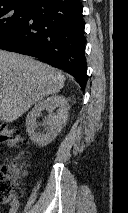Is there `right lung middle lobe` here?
<instances>
[{"label":"right lung middle lobe","instance_id":"dd1d6c3e","mask_svg":"<svg viewBox=\"0 0 128 213\" xmlns=\"http://www.w3.org/2000/svg\"><path fill=\"white\" fill-rule=\"evenodd\" d=\"M29 6H0V41L20 27L29 13Z\"/></svg>","mask_w":128,"mask_h":213}]
</instances>
